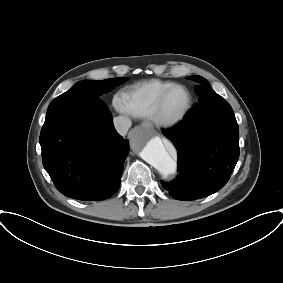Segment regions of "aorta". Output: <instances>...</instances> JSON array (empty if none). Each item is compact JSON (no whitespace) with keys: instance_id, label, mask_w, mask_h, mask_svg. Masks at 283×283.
<instances>
[{"instance_id":"aorta-1","label":"aorta","mask_w":283,"mask_h":283,"mask_svg":"<svg viewBox=\"0 0 283 283\" xmlns=\"http://www.w3.org/2000/svg\"><path fill=\"white\" fill-rule=\"evenodd\" d=\"M132 145L140 152V156L153 166L163 177L176 173L177 164L167 152L163 141L157 136H148L139 130ZM172 150L175 149L172 147Z\"/></svg>"}]
</instances>
